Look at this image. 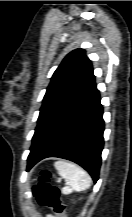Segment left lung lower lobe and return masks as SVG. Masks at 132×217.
Here are the masks:
<instances>
[{"mask_svg":"<svg viewBox=\"0 0 132 217\" xmlns=\"http://www.w3.org/2000/svg\"><path fill=\"white\" fill-rule=\"evenodd\" d=\"M103 108L95 81L57 116L32 147L27 170L47 157L71 160L98 180L103 149Z\"/></svg>","mask_w":132,"mask_h":217,"instance_id":"left-lung-lower-lobe-1","label":"left lung lower lobe"}]
</instances>
